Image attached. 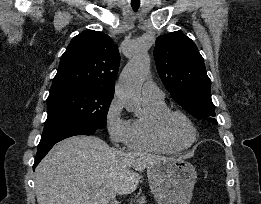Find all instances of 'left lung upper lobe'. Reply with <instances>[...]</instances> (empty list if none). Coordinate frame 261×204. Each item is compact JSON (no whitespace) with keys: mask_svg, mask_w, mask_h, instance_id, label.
I'll use <instances>...</instances> for the list:
<instances>
[{"mask_svg":"<svg viewBox=\"0 0 261 204\" xmlns=\"http://www.w3.org/2000/svg\"><path fill=\"white\" fill-rule=\"evenodd\" d=\"M154 57L158 74L176 103L196 119L217 124L211 99V81L194 42L181 32L156 39Z\"/></svg>","mask_w":261,"mask_h":204,"instance_id":"obj_1","label":"left lung upper lobe"}]
</instances>
